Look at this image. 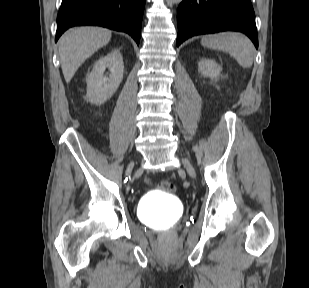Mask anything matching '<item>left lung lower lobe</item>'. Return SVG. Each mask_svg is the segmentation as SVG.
Segmentation results:
<instances>
[{
    "label": "left lung lower lobe",
    "instance_id": "0a47b994",
    "mask_svg": "<svg viewBox=\"0 0 309 288\" xmlns=\"http://www.w3.org/2000/svg\"><path fill=\"white\" fill-rule=\"evenodd\" d=\"M177 46L189 37L227 30L245 33L258 48L250 0H183L177 11Z\"/></svg>",
    "mask_w": 309,
    "mask_h": 288
}]
</instances>
